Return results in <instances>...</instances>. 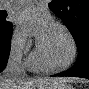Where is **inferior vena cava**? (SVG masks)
Returning a JSON list of instances; mask_svg holds the SVG:
<instances>
[{
  "mask_svg": "<svg viewBox=\"0 0 89 89\" xmlns=\"http://www.w3.org/2000/svg\"><path fill=\"white\" fill-rule=\"evenodd\" d=\"M5 72L9 75L24 76L25 70L22 63V50L12 51L9 56L8 64Z\"/></svg>",
  "mask_w": 89,
  "mask_h": 89,
  "instance_id": "1",
  "label": "inferior vena cava"
}]
</instances>
